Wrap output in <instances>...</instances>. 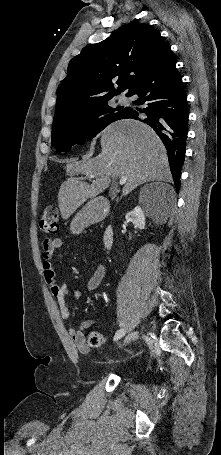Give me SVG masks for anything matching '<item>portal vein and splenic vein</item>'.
I'll use <instances>...</instances> for the list:
<instances>
[{"label":"portal vein and splenic vein","mask_w":221,"mask_h":455,"mask_svg":"<svg viewBox=\"0 0 221 455\" xmlns=\"http://www.w3.org/2000/svg\"><path fill=\"white\" fill-rule=\"evenodd\" d=\"M88 177H89L90 179H91V178H94L93 175H90V176H88ZM126 181H127V177H126V176H122V177L120 178L119 184H120V185H124V184L126 183Z\"/></svg>","instance_id":"portal-vein-and-splenic-vein-1"}]
</instances>
